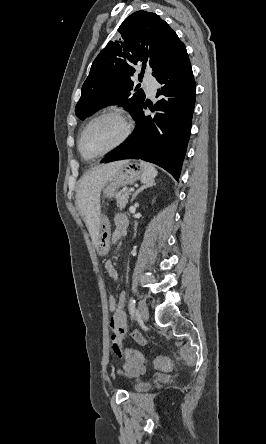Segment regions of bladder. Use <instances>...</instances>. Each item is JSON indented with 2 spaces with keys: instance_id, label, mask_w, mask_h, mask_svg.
Masks as SVG:
<instances>
[{
  "instance_id": "31cf9c89",
  "label": "bladder",
  "mask_w": 266,
  "mask_h": 444,
  "mask_svg": "<svg viewBox=\"0 0 266 444\" xmlns=\"http://www.w3.org/2000/svg\"><path fill=\"white\" fill-rule=\"evenodd\" d=\"M150 389H151V384H149V383H138L134 387V390L136 392H147Z\"/></svg>"
}]
</instances>
